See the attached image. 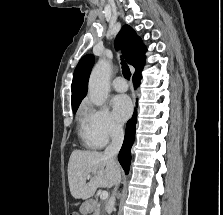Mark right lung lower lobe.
Masks as SVG:
<instances>
[{
  "label": "right lung lower lobe",
  "instance_id": "obj_1",
  "mask_svg": "<svg viewBox=\"0 0 223 215\" xmlns=\"http://www.w3.org/2000/svg\"><path fill=\"white\" fill-rule=\"evenodd\" d=\"M140 72L141 71L136 72L133 76L135 87H137L140 84V80L142 78ZM135 124H136V112L134 113L133 117L127 122L124 142L118 155V160L123 169L125 170L126 174L128 173L130 166V160H131L130 150L135 138Z\"/></svg>",
  "mask_w": 223,
  "mask_h": 215
}]
</instances>
